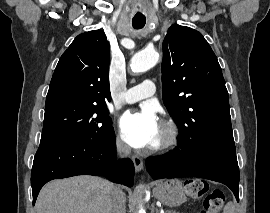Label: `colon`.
<instances>
[{
  "mask_svg": "<svg viewBox=\"0 0 270 213\" xmlns=\"http://www.w3.org/2000/svg\"><path fill=\"white\" fill-rule=\"evenodd\" d=\"M186 195L192 199L205 196L203 209L200 213H221L225 204V196L222 190H210L209 184L202 179H188L184 183Z\"/></svg>",
  "mask_w": 270,
  "mask_h": 213,
  "instance_id": "colon-1",
  "label": "colon"
}]
</instances>
